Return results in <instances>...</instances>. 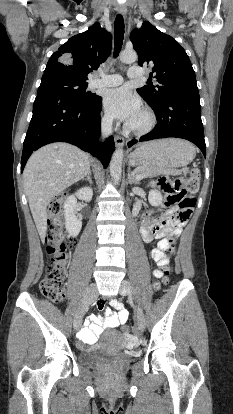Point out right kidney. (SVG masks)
Masks as SVG:
<instances>
[{
    "mask_svg": "<svg viewBox=\"0 0 233 414\" xmlns=\"http://www.w3.org/2000/svg\"><path fill=\"white\" fill-rule=\"evenodd\" d=\"M92 196L93 190L89 187H83L79 189L74 195L69 196L64 203L66 230L73 237H76L82 228L81 220H79L74 214V209L77 205V198L86 202H90Z\"/></svg>",
    "mask_w": 233,
    "mask_h": 414,
    "instance_id": "ca27d5eb",
    "label": "right kidney"
}]
</instances>
